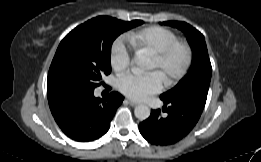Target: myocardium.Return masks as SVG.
Wrapping results in <instances>:
<instances>
[{"mask_svg": "<svg viewBox=\"0 0 261 162\" xmlns=\"http://www.w3.org/2000/svg\"><path fill=\"white\" fill-rule=\"evenodd\" d=\"M178 52L182 54V64L176 71L170 73L165 78L167 85H173L177 83L188 73L193 61L192 49L188 43L184 41H176L164 49L152 53L153 57H155L159 62V65L161 67H165L173 55Z\"/></svg>", "mask_w": 261, "mask_h": 162, "instance_id": "myocardium-1", "label": "myocardium"}]
</instances>
